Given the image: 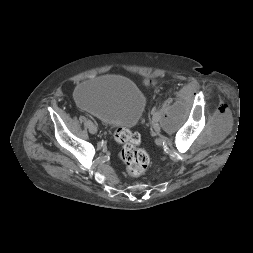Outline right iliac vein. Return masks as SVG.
<instances>
[{
    "instance_id": "obj_1",
    "label": "right iliac vein",
    "mask_w": 253,
    "mask_h": 253,
    "mask_svg": "<svg viewBox=\"0 0 253 253\" xmlns=\"http://www.w3.org/2000/svg\"><path fill=\"white\" fill-rule=\"evenodd\" d=\"M89 131L94 134L97 132V127L92 123L89 126Z\"/></svg>"
}]
</instances>
